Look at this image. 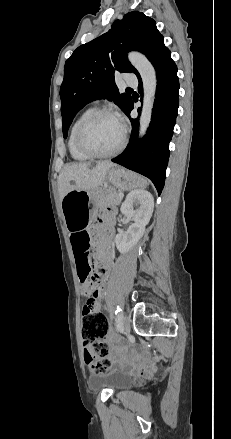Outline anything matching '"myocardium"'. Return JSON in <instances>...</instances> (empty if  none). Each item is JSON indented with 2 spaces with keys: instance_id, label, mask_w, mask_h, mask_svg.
<instances>
[{
  "instance_id": "1",
  "label": "myocardium",
  "mask_w": 231,
  "mask_h": 439,
  "mask_svg": "<svg viewBox=\"0 0 231 439\" xmlns=\"http://www.w3.org/2000/svg\"><path fill=\"white\" fill-rule=\"evenodd\" d=\"M103 116L112 117V118H115L119 121L117 114L115 112H113L112 110L98 109V110H95L92 113H90L86 118H84L77 128L76 136H75L76 145H77L78 149L81 152H83L85 155H87L89 158H99V159L111 158V157H114L117 154H119L126 146L127 130H126L125 126H123L122 139H121L119 145L115 149H113L112 151L107 152V153H98V152L92 150L89 146H87V144L85 143V140H84V134H85L87 128L95 120H97L98 118L103 117Z\"/></svg>"
}]
</instances>
